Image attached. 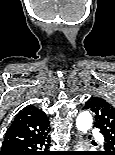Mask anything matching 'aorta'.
<instances>
[{
	"instance_id": "aorta-1",
	"label": "aorta",
	"mask_w": 115,
	"mask_h": 155,
	"mask_svg": "<svg viewBox=\"0 0 115 155\" xmlns=\"http://www.w3.org/2000/svg\"><path fill=\"white\" fill-rule=\"evenodd\" d=\"M93 118L88 111L81 112L76 119V126L79 131L87 133L92 127ZM82 147L80 148L81 151Z\"/></svg>"
}]
</instances>
